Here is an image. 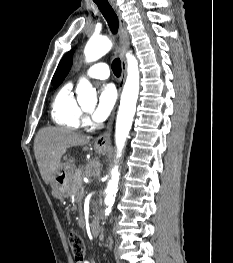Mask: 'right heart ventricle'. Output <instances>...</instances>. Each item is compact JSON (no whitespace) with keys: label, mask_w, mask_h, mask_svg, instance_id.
Returning <instances> with one entry per match:
<instances>
[{"label":"right heart ventricle","mask_w":233,"mask_h":263,"mask_svg":"<svg viewBox=\"0 0 233 263\" xmlns=\"http://www.w3.org/2000/svg\"><path fill=\"white\" fill-rule=\"evenodd\" d=\"M51 117L59 126L72 129L83 126L82 109L74 97L71 83H66L56 93L52 102Z\"/></svg>","instance_id":"obj_1"}]
</instances>
